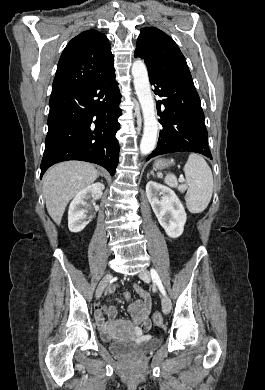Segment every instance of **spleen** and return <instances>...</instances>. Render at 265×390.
<instances>
[{"instance_id":"1","label":"spleen","mask_w":265,"mask_h":390,"mask_svg":"<svg viewBox=\"0 0 265 390\" xmlns=\"http://www.w3.org/2000/svg\"><path fill=\"white\" fill-rule=\"evenodd\" d=\"M186 184L179 185L175 176L165 177V183L179 191L187 190L185 200L188 210L197 214L203 212L213 194V176L210 167L202 156L192 153L184 166Z\"/></svg>"}]
</instances>
